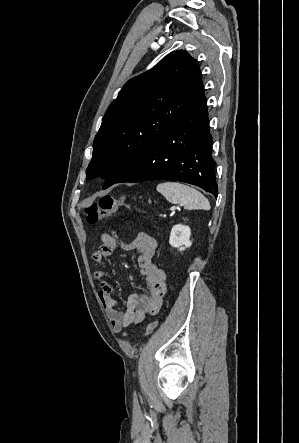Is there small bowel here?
<instances>
[{
  "mask_svg": "<svg viewBox=\"0 0 299 443\" xmlns=\"http://www.w3.org/2000/svg\"><path fill=\"white\" fill-rule=\"evenodd\" d=\"M157 246L155 238L145 232H139L130 242L122 241L116 235L103 233L101 245L93 254L94 262L100 264L106 258L115 255L118 249H136L139 253L137 264L146 278L147 288L145 292H135L128 296L125 311L117 308L113 288L106 281V272H94L98 283V296L104 304L111 326L124 337L128 335V332L124 331L125 328L142 324L147 314L156 315L162 307L166 292V274L153 263Z\"/></svg>",
  "mask_w": 299,
  "mask_h": 443,
  "instance_id": "c3829d8e",
  "label": "small bowel"
}]
</instances>
